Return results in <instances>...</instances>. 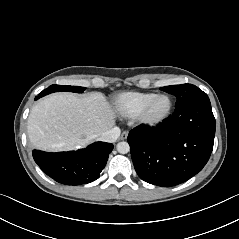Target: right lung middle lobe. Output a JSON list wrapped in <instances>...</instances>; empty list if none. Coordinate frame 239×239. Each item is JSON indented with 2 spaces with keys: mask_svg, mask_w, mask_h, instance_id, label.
Segmentation results:
<instances>
[{
  "mask_svg": "<svg viewBox=\"0 0 239 239\" xmlns=\"http://www.w3.org/2000/svg\"><path fill=\"white\" fill-rule=\"evenodd\" d=\"M85 89H86L85 87H79V86H61V85L54 84L49 86L47 89L43 90L39 94V97L45 96L53 92H58V91H70V92L82 93L84 92Z\"/></svg>",
  "mask_w": 239,
  "mask_h": 239,
  "instance_id": "1",
  "label": "right lung middle lobe"
}]
</instances>
